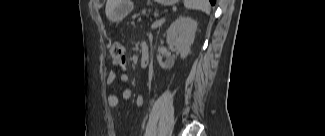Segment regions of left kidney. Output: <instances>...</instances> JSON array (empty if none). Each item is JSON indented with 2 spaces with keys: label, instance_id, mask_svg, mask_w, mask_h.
<instances>
[{
  "label": "left kidney",
  "instance_id": "left-kidney-1",
  "mask_svg": "<svg viewBox=\"0 0 325 136\" xmlns=\"http://www.w3.org/2000/svg\"><path fill=\"white\" fill-rule=\"evenodd\" d=\"M197 22L191 17L180 16L168 28L167 44L175 48L184 59L190 53L191 45L195 39Z\"/></svg>",
  "mask_w": 325,
  "mask_h": 136
}]
</instances>
